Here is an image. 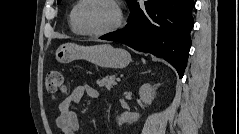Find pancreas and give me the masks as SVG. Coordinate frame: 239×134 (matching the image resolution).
Returning <instances> with one entry per match:
<instances>
[{
	"mask_svg": "<svg viewBox=\"0 0 239 134\" xmlns=\"http://www.w3.org/2000/svg\"><path fill=\"white\" fill-rule=\"evenodd\" d=\"M99 87H104L107 90H110L114 85H116L115 76H106L101 80H97Z\"/></svg>",
	"mask_w": 239,
	"mask_h": 134,
	"instance_id": "pancreas-1",
	"label": "pancreas"
}]
</instances>
